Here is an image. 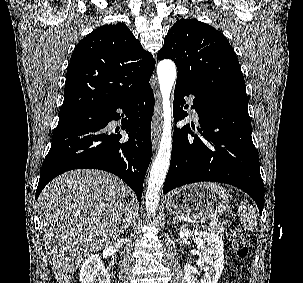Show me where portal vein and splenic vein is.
<instances>
[{"label":"portal vein and splenic vein","mask_w":303,"mask_h":283,"mask_svg":"<svg viewBox=\"0 0 303 283\" xmlns=\"http://www.w3.org/2000/svg\"><path fill=\"white\" fill-rule=\"evenodd\" d=\"M216 222V220L214 219V220H211V222H210V224H213V223H215Z\"/></svg>","instance_id":"1"}]
</instances>
